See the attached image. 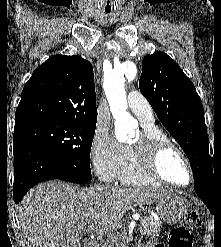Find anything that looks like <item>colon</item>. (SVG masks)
<instances>
[{
    "label": "colon",
    "mask_w": 221,
    "mask_h": 247,
    "mask_svg": "<svg viewBox=\"0 0 221 247\" xmlns=\"http://www.w3.org/2000/svg\"><path fill=\"white\" fill-rule=\"evenodd\" d=\"M198 224L199 215L197 212H192L186 216L182 224L172 230L168 241L169 247H192V229Z\"/></svg>",
    "instance_id": "obj_1"
}]
</instances>
